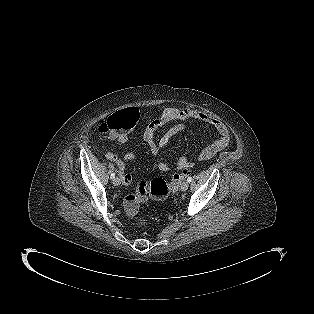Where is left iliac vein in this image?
<instances>
[{"mask_svg": "<svg viewBox=\"0 0 314 314\" xmlns=\"http://www.w3.org/2000/svg\"><path fill=\"white\" fill-rule=\"evenodd\" d=\"M189 187V183L187 181H184L182 184H181V191H186Z\"/></svg>", "mask_w": 314, "mask_h": 314, "instance_id": "obj_1", "label": "left iliac vein"}]
</instances>
